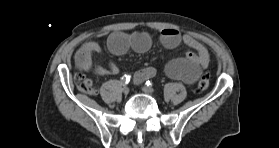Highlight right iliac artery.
<instances>
[{
    "mask_svg": "<svg viewBox=\"0 0 279 148\" xmlns=\"http://www.w3.org/2000/svg\"><path fill=\"white\" fill-rule=\"evenodd\" d=\"M130 75L128 74H125L122 78H121V81H122V84L125 86L129 83L130 81Z\"/></svg>",
    "mask_w": 279,
    "mask_h": 148,
    "instance_id": "right-iliac-artery-1",
    "label": "right iliac artery"
}]
</instances>
